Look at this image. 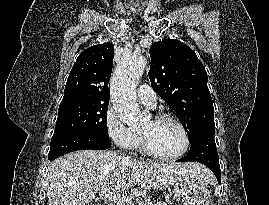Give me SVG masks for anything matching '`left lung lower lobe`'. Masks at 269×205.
Here are the masks:
<instances>
[{
    "instance_id": "1",
    "label": "left lung lower lobe",
    "mask_w": 269,
    "mask_h": 205,
    "mask_svg": "<svg viewBox=\"0 0 269 205\" xmlns=\"http://www.w3.org/2000/svg\"><path fill=\"white\" fill-rule=\"evenodd\" d=\"M214 135L215 130L213 129L201 132L195 140L191 142L189 153L177 161L200 162L206 165L215 174L220 183L221 171Z\"/></svg>"
}]
</instances>
